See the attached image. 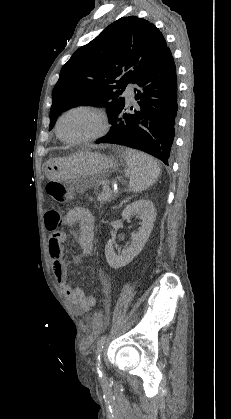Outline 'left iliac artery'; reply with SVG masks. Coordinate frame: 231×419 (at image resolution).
<instances>
[{
	"instance_id": "44dca946",
	"label": "left iliac artery",
	"mask_w": 231,
	"mask_h": 419,
	"mask_svg": "<svg viewBox=\"0 0 231 419\" xmlns=\"http://www.w3.org/2000/svg\"><path fill=\"white\" fill-rule=\"evenodd\" d=\"M106 337H107V335H104V336H102L101 337V339L99 340V342H98V346H97V350H96V354H97V361L99 362L100 361V355H101V352H102V349H103V347H104V344H105V341H106ZM99 365V364H98ZM98 369V373L100 374V375H102V372L99 370V368H97Z\"/></svg>"
}]
</instances>
